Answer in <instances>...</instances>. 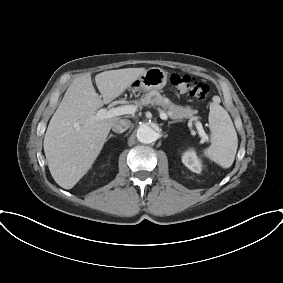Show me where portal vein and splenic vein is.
<instances>
[{
	"label": "portal vein and splenic vein",
	"mask_w": 283,
	"mask_h": 283,
	"mask_svg": "<svg viewBox=\"0 0 283 283\" xmlns=\"http://www.w3.org/2000/svg\"><path fill=\"white\" fill-rule=\"evenodd\" d=\"M137 111V106L136 105H124V106H118L115 108H111V109H100L97 111L96 113V117L99 119H108V118H112V117H116V116H120V115H125V114H134ZM160 118L162 120H167L168 116L164 111H160ZM195 126L196 129L200 135V137L202 138L203 141H207L208 140V136L205 133L203 126L201 124L200 121H196L195 122Z\"/></svg>",
	"instance_id": "18ae733b"
}]
</instances>
